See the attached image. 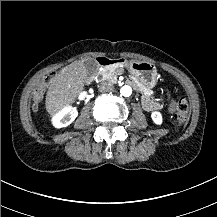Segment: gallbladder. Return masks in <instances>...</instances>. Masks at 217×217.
I'll list each match as a JSON object with an SVG mask.
<instances>
[{
  "label": "gallbladder",
  "instance_id": "obj_1",
  "mask_svg": "<svg viewBox=\"0 0 217 217\" xmlns=\"http://www.w3.org/2000/svg\"><path fill=\"white\" fill-rule=\"evenodd\" d=\"M84 66L86 67L88 72L95 73L98 70V64L95 59L91 58L84 62Z\"/></svg>",
  "mask_w": 217,
  "mask_h": 217
}]
</instances>
